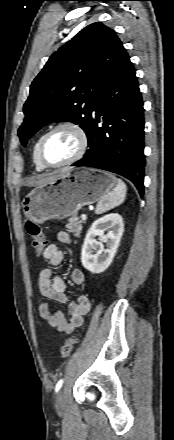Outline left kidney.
Instances as JSON below:
<instances>
[{"label":"left kidney","mask_w":174,"mask_h":440,"mask_svg":"<svg viewBox=\"0 0 174 440\" xmlns=\"http://www.w3.org/2000/svg\"><path fill=\"white\" fill-rule=\"evenodd\" d=\"M123 232V218L117 213L105 215L94 221L82 246L83 267L96 274L104 272L112 263ZM96 236H99L100 242L95 239ZM103 242L106 243V249Z\"/></svg>","instance_id":"left-kidney-1"}]
</instances>
